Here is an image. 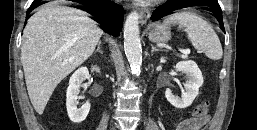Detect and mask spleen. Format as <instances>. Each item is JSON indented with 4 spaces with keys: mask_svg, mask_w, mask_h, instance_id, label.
Masks as SVG:
<instances>
[{
    "mask_svg": "<svg viewBox=\"0 0 257 130\" xmlns=\"http://www.w3.org/2000/svg\"><path fill=\"white\" fill-rule=\"evenodd\" d=\"M164 24L178 25L186 32L192 45L211 60H219L223 56L220 40L212 26L195 12L184 10L169 15Z\"/></svg>",
    "mask_w": 257,
    "mask_h": 130,
    "instance_id": "1",
    "label": "spleen"
}]
</instances>
